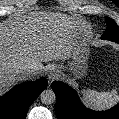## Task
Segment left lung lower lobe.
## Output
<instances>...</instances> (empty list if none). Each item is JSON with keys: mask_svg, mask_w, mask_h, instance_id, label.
Here are the masks:
<instances>
[{"mask_svg": "<svg viewBox=\"0 0 119 119\" xmlns=\"http://www.w3.org/2000/svg\"><path fill=\"white\" fill-rule=\"evenodd\" d=\"M112 41L119 43V38ZM52 89L56 94L57 119H119V104L107 111H91L82 105L75 90L67 84L53 82Z\"/></svg>", "mask_w": 119, "mask_h": 119, "instance_id": "1", "label": "left lung lower lobe"}]
</instances>
